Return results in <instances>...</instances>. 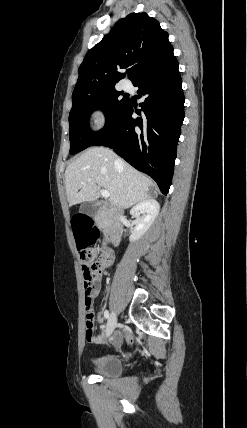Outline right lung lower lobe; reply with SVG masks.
<instances>
[{"label": "right lung lower lobe", "mask_w": 247, "mask_h": 428, "mask_svg": "<svg viewBox=\"0 0 247 428\" xmlns=\"http://www.w3.org/2000/svg\"><path fill=\"white\" fill-rule=\"evenodd\" d=\"M141 110L131 100L92 145L113 148L137 170L151 176L167 195L173 177L177 143L184 119V95L178 62L173 55L160 67L140 77ZM139 117L132 118L133 112Z\"/></svg>", "instance_id": "98d812e1"}]
</instances>
